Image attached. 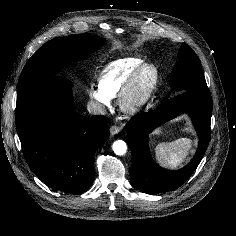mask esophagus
Here are the masks:
<instances>
[{
    "label": "esophagus",
    "instance_id": "1",
    "mask_svg": "<svg viewBox=\"0 0 236 236\" xmlns=\"http://www.w3.org/2000/svg\"><path fill=\"white\" fill-rule=\"evenodd\" d=\"M119 131H120V128L116 125H113L110 127V134L111 135H116L119 133Z\"/></svg>",
    "mask_w": 236,
    "mask_h": 236
}]
</instances>
